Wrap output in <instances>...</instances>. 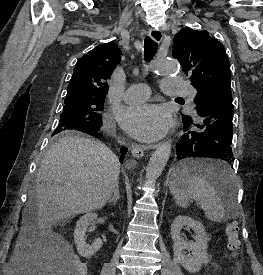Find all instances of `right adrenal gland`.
Returning a JSON list of instances; mask_svg holds the SVG:
<instances>
[{"mask_svg": "<svg viewBox=\"0 0 263 275\" xmlns=\"http://www.w3.org/2000/svg\"><path fill=\"white\" fill-rule=\"evenodd\" d=\"M120 199V192H119V183H117L112 198L109 200V202L116 204L118 200Z\"/></svg>", "mask_w": 263, "mask_h": 275, "instance_id": "right-adrenal-gland-1", "label": "right adrenal gland"}]
</instances>
